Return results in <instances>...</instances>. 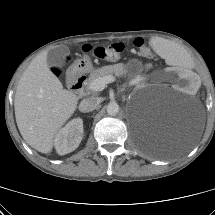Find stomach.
I'll use <instances>...</instances> for the list:
<instances>
[{"label":"stomach","instance_id":"0dacf381","mask_svg":"<svg viewBox=\"0 0 215 215\" xmlns=\"http://www.w3.org/2000/svg\"><path fill=\"white\" fill-rule=\"evenodd\" d=\"M73 68L79 73H87L93 69V65L88 56H83L74 62Z\"/></svg>","mask_w":215,"mask_h":215}]
</instances>
